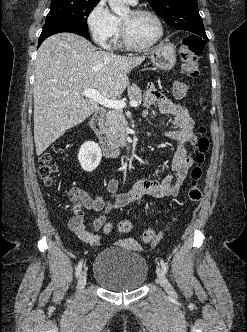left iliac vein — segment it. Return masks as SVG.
I'll return each instance as SVG.
<instances>
[{
	"instance_id": "left-iliac-vein-1",
	"label": "left iliac vein",
	"mask_w": 247,
	"mask_h": 332,
	"mask_svg": "<svg viewBox=\"0 0 247 332\" xmlns=\"http://www.w3.org/2000/svg\"><path fill=\"white\" fill-rule=\"evenodd\" d=\"M156 274H157L158 282L160 283V285L166 290L167 293L171 294L173 292V289H172L170 283L168 282V280L166 279L165 274H164L163 270L161 269V267L157 266Z\"/></svg>"
}]
</instances>
